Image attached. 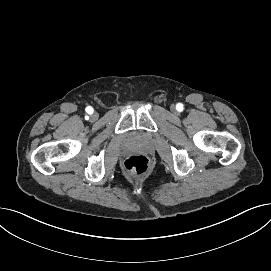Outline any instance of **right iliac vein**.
<instances>
[{
	"label": "right iliac vein",
	"mask_w": 271,
	"mask_h": 271,
	"mask_svg": "<svg viewBox=\"0 0 271 271\" xmlns=\"http://www.w3.org/2000/svg\"><path fill=\"white\" fill-rule=\"evenodd\" d=\"M98 118V113L97 112H93L91 115V120L95 121Z\"/></svg>",
	"instance_id": "right-iliac-vein-1"
}]
</instances>
